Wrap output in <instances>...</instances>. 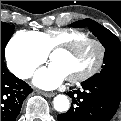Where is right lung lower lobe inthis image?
<instances>
[{"label":"right lung lower lobe","instance_id":"98d812e1","mask_svg":"<svg viewBox=\"0 0 121 121\" xmlns=\"http://www.w3.org/2000/svg\"><path fill=\"white\" fill-rule=\"evenodd\" d=\"M30 86L8 71L1 61V121H15Z\"/></svg>","mask_w":121,"mask_h":121}]
</instances>
